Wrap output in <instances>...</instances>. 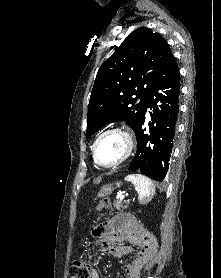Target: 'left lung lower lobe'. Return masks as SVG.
I'll list each match as a JSON object with an SVG mask.
<instances>
[{
  "instance_id": "1",
  "label": "left lung lower lobe",
  "mask_w": 221,
  "mask_h": 278,
  "mask_svg": "<svg viewBox=\"0 0 221 278\" xmlns=\"http://www.w3.org/2000/svg\"><path fill=\"white\" fill-rule=\"evenodd\" d=\"M180 79L174 56L145 99V110L135 131L137 153L128 170L163 181L169 167L179 114ZM151 109L149 134H145V113Z\"/></svg>"
}]
</instances>
